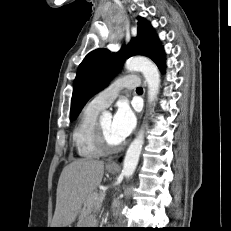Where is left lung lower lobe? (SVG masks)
Instances as JSON below:
<instances>
[{
    "label": "left lung lower lobe",
    "instance_id": "left-lung-lower-lobe-1",
    "mask_svg": "<svg viewBox=\"0 0 231 231\" xmlns=\"http://www.w3.org/2000/svg\"><path fill=\"white\" fill-rule=\"evenodd\" d=\"M159 67L160 71L164 73L165 71V56H164V50L161 46L159 50L156 52V54L151 58Z\"/></svg>",
    "mask_w": 231,
    "mask_h": 231
}]
</instances>
